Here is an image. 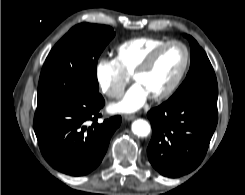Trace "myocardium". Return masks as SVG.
<instances>
[{
  "label": "myocardium",
  "mask_w": 245,
  "mask_h": 195,
  "mask_svg": "<svg viewBox=\"0 0 245 195\" xmlns=\"http://www.w3.org/2000/svg\"><path fill=\"white\" fill-rule=\"evenodd\" d=\"M174 45L180 46L183 49V52H184L183 64L178 74L174 78V80L170 83V85L166 89H164L162 92L156 95L150 96V99L153 101H162V100L167 99L169 96H171L174 93V91L178 88L179 84L181 83L187 71L189 60H190L189 51L186 45L180 41L172 40V41H167L157 46L144 58V60L136 67V69L132 73V78L135 81V79L139 75L146 72L153 65L156 58L163 50L167 49L168 47L174 46Z\"/></svg>",
  "instance_id": "obj_1"
}]
</instances>
